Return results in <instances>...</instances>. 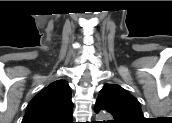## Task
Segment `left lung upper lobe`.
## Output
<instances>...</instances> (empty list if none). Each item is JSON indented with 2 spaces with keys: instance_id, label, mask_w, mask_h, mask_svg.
Masks as SVG:
<instances>
[{
  "instance_id": "obj_1",
  "label": "left lung upper lobe",
  "mask_w": 172,
  "mask_h": 123,
  "mask_svg": "<svg viewBox=\"0 0 172 123\" xmlns=\"http://www.w3.org/2000/svg\"><path fill=\"white\" fill-rule=\"evenodd\" d=\"M95 112L106 110L112 114V123H143L138 100L117 84H106L99 93Z\"/></svg>"
}]
</instances>
